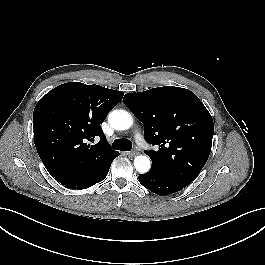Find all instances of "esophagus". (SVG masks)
Instances as JSON below:
<instances>
[{
    "instance_id": "34e87169",
    "label": "esophagus",
    "mask_w": 265,
    "mask_h": 265,
    "mask_svg": "<svg viewBox=\"0 0 265 265\" xmlns=\"http://www.w3.org/2000/svg\"><path fill=\"white\" fill-rule=\"evenodd\" d=\"M137 154H138V152L135 151V150L127 153V155H128L129 157H135Z\"/></svg>"
}]
</instances>
